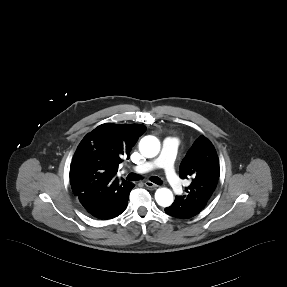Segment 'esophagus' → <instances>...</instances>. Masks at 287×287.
<instances>
[{
  "label": "esophagus",
  "mask_w": 287,
  "mask_h": 287,
  "mask_svg": "<svg viewBox=\"0 0 287 287\" xmlns=\"http://www.w3.org/2000/svg\"><path fill=\"white\" fill-rule=\"evenodd\" d=\"M145 185L149 188H153V189H156L158 186L156 184H154L153 182L151 181H146L145 182Z\"/></svg>",
  "instance_id": "obj_1"
}]
</instances>
